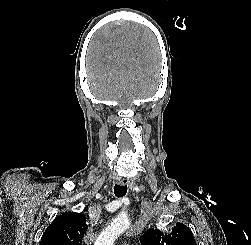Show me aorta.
I'll use <instances>...</instances> for the list:
<instances>
[{
    "mask_svg": "<svg viewBox=\"0 0 251 245\" xmlns=\"http://www.w3.org/2000/svg\"><path fill=\"white\" fill-rule=\"evenodd\" d=\"M129 226L125 214H120L103 232L100 233L94 245H113L117 236L122 234Z\"/></svg>",
    "mask_w": 251,
    "mask_h": 245,
    "instance_id": "aorta-1",
    "label": "aorta"
}]
</instances>
